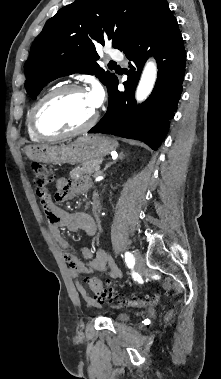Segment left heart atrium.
<instances>
[{
  "label": "left heart atrium",
  "instance_id": "1",
  "mask_svg": "<svg viewBox=\"0 0 221 379\" xmlns=\"http://www.w3.org/2000/svg\"><path fill=\"white\" fill-rule=\"evenodd\" d=\"M87 95L95 109H97L102 104L104 99V91L98 83H94L92 85Z\"/></svg>",
  "mask_w": 221,
  "mask_h": 379
}]
</instances>
